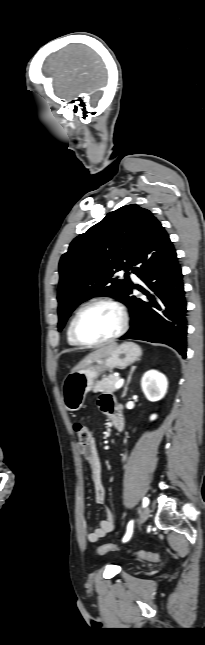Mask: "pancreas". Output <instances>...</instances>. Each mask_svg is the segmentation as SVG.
Here are the masks:
<instances>
[{
    "label": "pancreas",
    "instance_id": "obj_1",
    "mask_svg": "<svg viewBox=\"0 0 205 645\" xmlns=\"http://www.w3.org/2000/svg\"><path fill=\"white\" fill-rule=\"evenodd\" d=\"M118 380H119V377L113 376V375L105 377L94 385L93 391L95 393L96 392L113 393L117 390L115 385Z\"/></svg>",
    "mask_w": 205,
    "mask_h": 645
}]
</instances>
